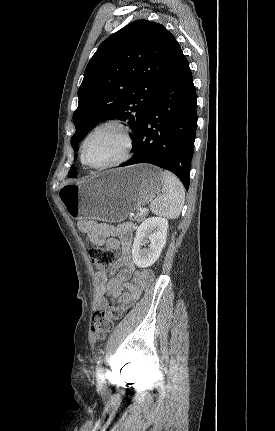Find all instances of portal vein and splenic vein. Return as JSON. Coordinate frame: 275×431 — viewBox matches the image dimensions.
Here are the masks:
<instances>
[{
    "mask_svg": "<svg viewBox=\"0 0 275 431\" xmlns=\"http://www.w3.org/2000/svg\"><path fill=\"white\" fill-rule=\"evenodd\" d=\"M154 197H155V196H153L150 200L152 201ZM147 211H148L147 206H144L143 208H141V209H140V214H144V213H146Z\"/></svg>",
    "mask_w": 275,
    "mask_h": 431,
    "instance_id": "portal-vein-and-splenic-vein-1",
    "label": "portal vein and splenic vein"
}]
</instances>
